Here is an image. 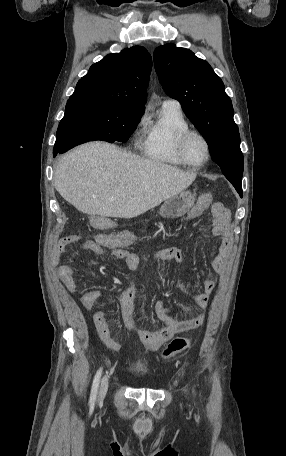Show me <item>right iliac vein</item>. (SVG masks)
Here are the masks:
<instances>
[{
    "label": "right iliac vein",
    "instance_id": "right-iliac-vein-1",
    "mask_svg": "<svg viewBox=\"0 0 286 456\" xmlns=\"http://www.w3.org/2000/svg\"><path fill=\"white\" fill-rule=\"evenodd\" d=\"M108 380L109 379H108L107 375H105L102 379L100 390H99V396H98L99 401H101L107 393L108 385H109Z\"/></svg>",
    "mask_w": 286,
    "mask_h": 456
}]
</instances>
